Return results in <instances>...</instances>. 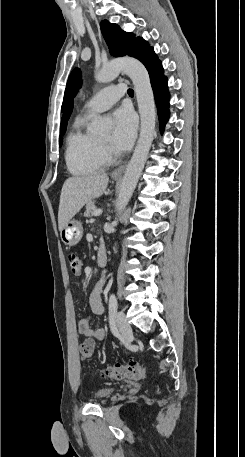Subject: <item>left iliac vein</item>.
<instances>
[{
	"instance_id": "4c4485c4",
	"label": "left iliac vein",
	"mask_w": 245,
	"mask_h": 457,
	"mask_svg": "<svg viewBox=\"0 0 245 457\" xmlns=\"http://www.w3.org/2000/svg\"><path fill=\"white\" fill-rule=\"evenodd\" d=\"M116 325L118 329L124 334L126 341L131 342V338L129 336L131 327L125 314L122 311H118L116 314Z\"/></svg>"
}]
</instances>
